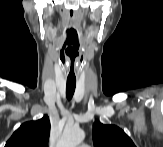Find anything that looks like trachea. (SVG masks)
Wrapping results in <instances>:
<instances>
[{
  "label": "trachea",
  "mask_w": 163,
  "mask_h": 147,
  "mask_svg": "<svg viewBox=\"0 0 163 147\" xmlns=\"http://www.w3.org/2000/svg\"><path fill=\"white\" fill-rule=\"evenodd\" d=\"M76 88V80H68L66 84V97L71 100Z\"/></svg>",
  "instance_id": "trachea-1"
}]
</instances>
